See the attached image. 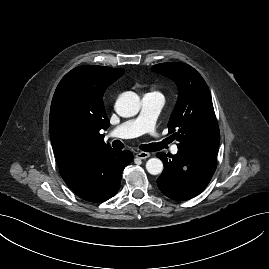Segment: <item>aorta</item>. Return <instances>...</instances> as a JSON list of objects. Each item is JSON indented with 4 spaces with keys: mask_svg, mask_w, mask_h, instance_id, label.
<instances>
[{
    "mask_svg": "<svg viewBox=\"0 0 269 269\" xmlns=\"http://www.w3.org/2000/svg\"><path fill=\"white\" fill-rule=\"evenodd\" d=\"M115 109L122 117H133L140 110V98L134 92H124L117 99ZM146 169L150 174L158 175L163 171V163L158 158H150L146 162Z\"/></svg>",
    "mask_w": 269,
    "mask_h": 269,
    "instance_id": "1",
    "label": "aorta"
}]
</instances>
